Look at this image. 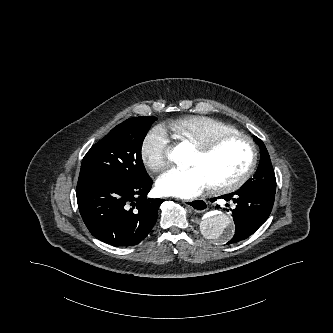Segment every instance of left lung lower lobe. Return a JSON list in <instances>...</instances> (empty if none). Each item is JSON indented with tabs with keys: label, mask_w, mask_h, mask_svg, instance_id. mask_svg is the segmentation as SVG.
Segmentation results:
<instances>
[{
	"label": "left lung lower lobe",
	"mask_w": 333,
	"mask_h": 333,
	"mask_svg": "<svg viewBox=\"0 0 333 333\" xmlns=\"http://www.w3.org/2000/svg\"><path fill=\"white\" fill-rule=\"evenodd\" d=\"M236 204L232 210L235 223V234L228 242L236 243L253 234L269 217L275 195L262 191L237 190L220 196ZM218 206V205H217Z\"/></svg>",
	"instance_id": "0a47b994"
}]
</instances>
